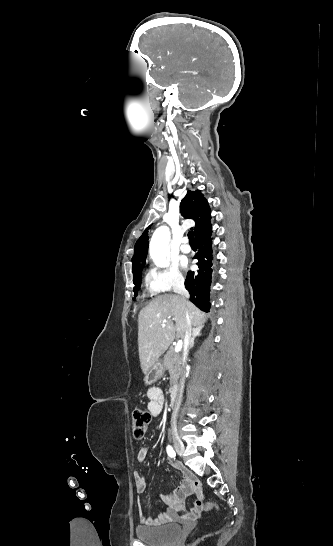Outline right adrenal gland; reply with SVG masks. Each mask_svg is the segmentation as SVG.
<instances>
[{"instance_id":"obj_1","label":"right adrenal gland","mask_w":333,"mask_h":546,"mask_svg":"<svg viewBox=\"0 0 333 546\" xmlns=\"http://www.w3.org/2000/svg\"><path fill=\"white\" fill-rule=\"evenodd\" d=\"M204 325H198L192 330V337L189 344V349H191L194 346V340L196 337L201 336V333L203 331Z\"/></svg>"}]
</instances>
